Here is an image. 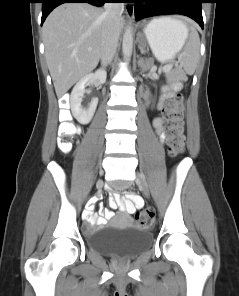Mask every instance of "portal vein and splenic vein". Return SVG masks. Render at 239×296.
I'll use <instances>...</instances> for the list:
<instances>
[{
  "label": "portal vein and splenic vein",
  "mask_w": 239,
  "mask_h": 296,
  "mask_svg": "<svg viewBox=\"0 0 239 296\" xmlns=\"http://www.w3.org/2000/svg\"><path fill=\"white\" fill-rule=\"evenodd\" d=\"M89 50H91V48H89ZM171 67H172L171 65H166V66H164V69L169 70V69H171Z\"/></svg>",
  "instance_id": "18ae733b"
}]
</instances>
